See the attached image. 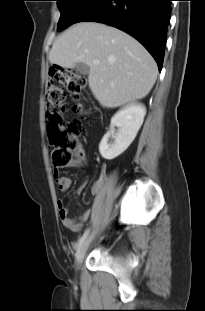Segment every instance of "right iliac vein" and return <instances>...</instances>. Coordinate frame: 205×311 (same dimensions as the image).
<instances>
[{
    "instance_id": "1",
    "label": "right iliac vein",
    "mask_w": 205,
    "mask_h": 311,
    "mask_svg": "<svg viewBox=\"0 0 205 311\" xmlns=\"http://www.w3.org/2000/svg\"><path fill=\"white\" fill-rule=\"evenodd\" d=\"M88 244H89V239H86L77 248L76 256H75V263L77 267L80 266V264L83 261Z\"/></svg>"
}]
</instances>
